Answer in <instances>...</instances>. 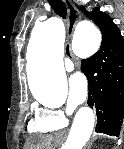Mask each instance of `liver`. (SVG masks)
<instances>
[{"instance_id": "obj_1", "label": "liver", "mask_w": 124, "mask_h": 149, "mask_svg": "<svg viewBox=\"0 0 124 149\" xmlns=\"http://www.w3.org/2000/svg\"><path fill=\"white\" fill-rule=\"evenodd\" d=\"M51 137H33L29 139L26 149H50Z\"/></svg>"}]
</instances>
